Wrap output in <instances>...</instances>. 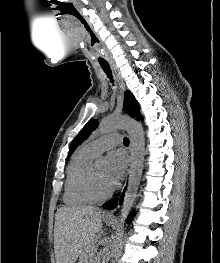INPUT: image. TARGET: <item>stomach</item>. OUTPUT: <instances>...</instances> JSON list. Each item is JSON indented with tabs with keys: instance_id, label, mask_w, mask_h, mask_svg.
Masks as SVG:
<instances>
[{
	"instance_id": "stomach-1",
	"label": "stomach",
	"mask_w": 220,
	"mask_h": 263,
	"mask_svg": "<svg viewBox=\"0 0 220 263\" xmlns=\"http://www.w3.org/2000/svg\"><path fill=\"white\" fill-rule=\"evenodd\" d=\"M104 220H105L106 223H110L111 222V220L108 219V218H105Z\"/></svg>"
}]
</instances>
